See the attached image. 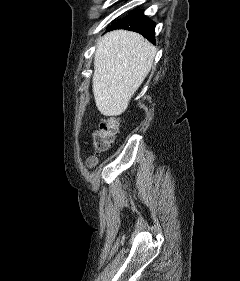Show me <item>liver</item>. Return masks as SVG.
<instances>
[{
	"mask_svg": "<svg viewBox=\"0 0 240 281\" xmlns=\"http://www.w3.org/2000/svg\"><path fill=\"white\" fill-rule=\"evenodd\" d=\"M156 47L138 33L115 30L98 40L92 89L104 116H118L148 75Z\"/></svg>",
	"mask_w": 240,
	"mask_h": 281,
	"instance_id": "1",
	"label": "liver"
}]
</instances>
